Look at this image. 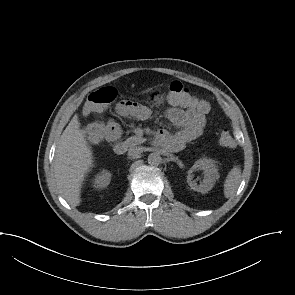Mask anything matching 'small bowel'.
<instances>
[{
	"mask_svg": "<svg viewBox=\"0 0 295 295\" xmlns=\"http://www.w3.org/2000/svg\"><path fill=\"white\" fill-rule=\"evenodd\" d=\"M170 107L166 110V116L180 131L170 134L166 130L158 132V139L169 149L180 150L187 143L200 137L206 126V118L202 112L191 106L179 104L174 99H169ZM116 111L120 116L146 119L150 111L148 108L128 101H120L116 105ZM106 139L117 140L120 137V129L116 122L110 120L105 123Z\"/></svg>",
	"mask_w": 295,
	"mask_h": 295,
	"instance_id": "small-bowel-1",
	"label": "small bowel"
}]
</instances>
